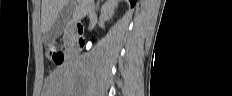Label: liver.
Instances as JSON below:
<instances>
[{"mask_svg": "<svg viewBox=\"0 0 232 96\" xmlns=\"http://www.w3.org/2000/svg\"><path fill=\"white\" fill-rule=\"evenodd\" d=\"M70 0H42L41 6V30L45 34L56 20L62 8ZM93 0H73V21L77 22L88 14V8Z\"/></svg>", "mask_w": 232, "mask_h": 96, "instance_id": "liver-1", "label": "liver"}]
</instances>
